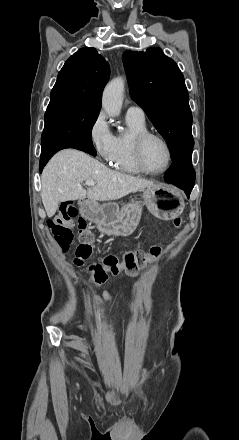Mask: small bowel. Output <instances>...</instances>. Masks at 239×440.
<instances>
[{"instance_id":"1","label":"small bowel","mask_w":239,"mask_h":440,"mask_svg":"<svg viewBox=\"0 0 239 440\" xmlns=\"http://www.w3.org/2000/svg\"><path fill=\"white\" fill-rule=\"evenodd\" d=\"M137 288H138V283L134 285V290H136ZM103 300L110 301L115 308H118L119 305L118 299L114 297L110 291L105 290L102 294L94 296V301L96 305L100 304Z\"/></svg>"}]
</instances>
